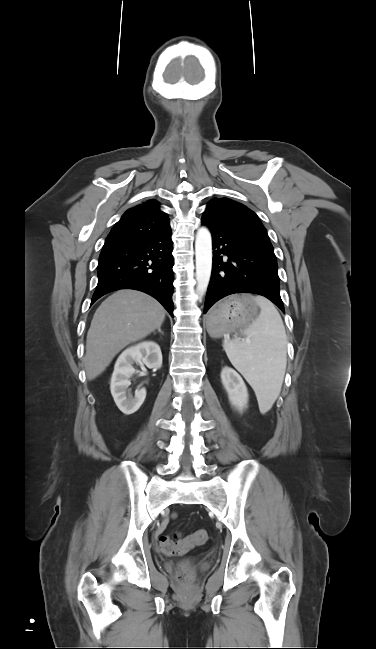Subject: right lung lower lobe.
Listing matches in <instances>:
<instances>
[{
	"label": "right lung lower lobe",
	"instance_id": "1",
	"mask_svg": "<svg viewBox=\"0 0 376 649\" xmlns=\"http://www.w3.org/2000/svg\"><path fill=\"white\" fill-rule=\"evenodd\" d=\"M172 250L171 229L102 249L91 305L109 292L135 289L153 296L173 317Z\"/></svg>",
	"mask_w": 376,
	"mask_h": 649
}]
</instances>
